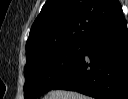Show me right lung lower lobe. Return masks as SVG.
<instances>
[{
    "mask_svg": "<svg viewBox=\"0 0 128 99\" xmlns=\"http://www.w3.org/2000/svg\"><path fill=\"white\" fill-rule=\"evenodd\" d=\"M83 43L77 65L52 89L77 91L97 99H127L128 31L122 8Z\"/></svg>",
    "mask_w": 128,
    "mask_h": 99,
    "instance_id": "right-lung-lower-lobe-1",
    "label": "right lung lower lobe"
}]
</instances>
